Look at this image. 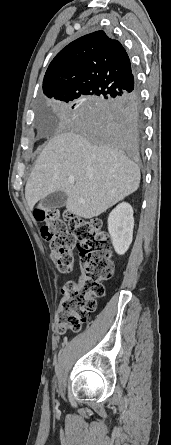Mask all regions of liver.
Masks as SVG:
<instances>
[{
    "mask_svg": "<svg viewBox=\"0 0 171 445\" xmlns=\"http://www.w3.org/2000/svg\"><path fill=\"white\" fill-rule=\"evenodd\" d=\"M139 183L137 164L121 157L109 144H94L81 134L61 132L39 155L27 180L25 197L33 210L39 200L63 191L67 210L90 219L135 192Z\"/></svg>",
    "mask_w": 171,
    "mask_h": 445,
    "instance_id": "1",
    "label": "liver"
}]
</instances>
